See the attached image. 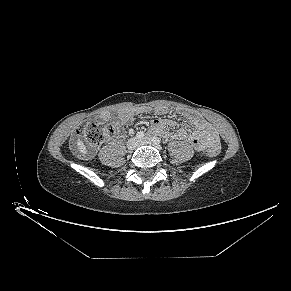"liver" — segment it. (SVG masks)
<instances>
[{"label": "liver", "mask_w": 291, "mask_h": 291, "mask_svg": "<svg viewBox=\"0 0 291 291\" xmlns=\"http://www.w3.org/2000/svg\"><path fill=\"white\" fill-rule=\"evenodd\" d=\"M77 147H78L79 152L82 155H86L87 154L86 146L84 145V143L80 139L77 140Z\"/></svg>", "instance_id": "liver-1"}]
</instances>
